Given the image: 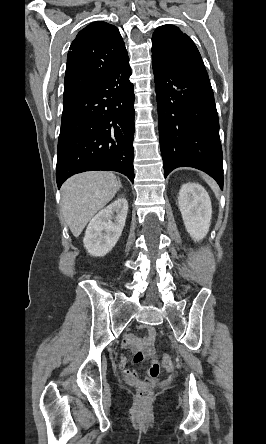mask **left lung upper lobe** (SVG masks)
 <instances>
[{"label":"left lung upper lobe","mask_w":266,"mask_h":444,"mask_svg":"<svg viewBox=\"0 0 266 444\" xmlns=\"http://www.w3.org/2000/svg\"><path fill=\"white\" fill-rule=\"evenodd\" d=\"M152 59L181 74L208 76L194 42L173 25H163L153 33Z\"/></svg>","instance_id":"1"}]
</instances>
